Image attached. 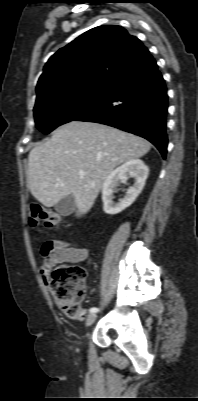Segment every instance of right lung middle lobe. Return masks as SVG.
<instances>
[{
    "label": "right lung middle lobe",
    "mask_w": 198,
    "mask_h": 401,
    "mask_svg": "<svg viewBox=\"0 0 198 401\" xmlns=\"http://www.w3.org/2000/svg\"><path fill=\"white\" fill-rule=\"evenodd\" d=\"M108 85L84 84L37 99L34 107L36 127L48 134L56 127L75 120L101 99Z\"/></svg>",
    "instance_id": "1"
}]
</instances>
